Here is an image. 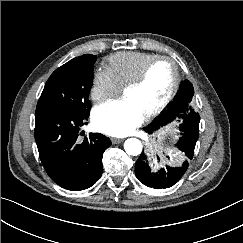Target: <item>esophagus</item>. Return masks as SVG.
I'll return each instance as SVG.
<instances>
[{"label":"esophagus","instance_id":"obj_1","mask_svg":"<svg viewBox=\"0 0 243 243\" xmlns=\"http://www.w3.org/2000/svg\"><path fill=\"white\" fill-rule=\"evenodd\" d=\"M111 141H112L113 144H119V143L123 142V139L111 138Z\"/></svg>","mask_w":243,"mask_h":243}]
</instances>
